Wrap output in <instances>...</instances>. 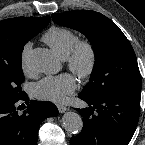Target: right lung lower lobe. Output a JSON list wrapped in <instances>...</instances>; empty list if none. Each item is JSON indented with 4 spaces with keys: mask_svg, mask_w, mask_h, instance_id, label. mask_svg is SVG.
<instances>
[{
    "mask_svg": "<svg viewBox=\"0 0 145 145\" xmlns=\"http://www.w3.org/2000/svg\"><path fill=\"white\" fill-rule=\"evenodd\" d=\"M24 94L15 100L0 99V145H36L41 121L58 115L56 106L49 101H30ZM18 101H26L23 113Z\"/></svg>",
    "mask_w": 145,
    "mask_h": 145,
    "instance_id": "right-lung-lower-lobe-1",
    "label": "right lung lower lobe"
}]
</instances>
